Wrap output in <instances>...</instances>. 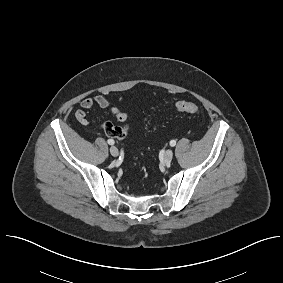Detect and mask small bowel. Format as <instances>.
<instances>
[{"label": "small bowel", "mask_w": 283, "mask_h": 283, "mask_svg": "<svg viewBox=\"0 0 283 283\" xmlns=\"http://www.w3.org/2000/svg\"><path fill=\"white\" fill-rule=\"evenodd\" d=\"M80 106L81 109L75 113V117L77 121L84 126L89 124L88 113L96 106L100 107L101 109L108 110V112L120 122H125L128 118V115L124 110L111 106L109 100L101 94L83 98L80 102ZM118 128L119 135L116 138H126L129 133V126L124 125Z\"/></svg>", "instance_id": "obj_1"}]
</instances>
